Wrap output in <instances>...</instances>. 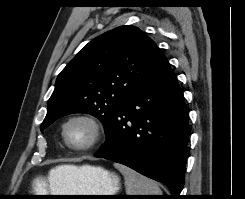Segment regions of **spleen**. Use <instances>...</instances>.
I'll return each instance as SVG.
<instances>
[{"mask_svg":"<svg viewBox=\"0 0 245 199\" xmlns=\"http://www.w3.org/2000/svg\"><path fill=\"white\" fill-rule=\"evenodd\" d=\"M114 166L124 176L127 195H162L158 184L153 180L122 164L115 163Z\"/></svg>","mask_w":245,"mask_h":199,"instance_id":"obj_1","label":"spleen"}]
</instances>
